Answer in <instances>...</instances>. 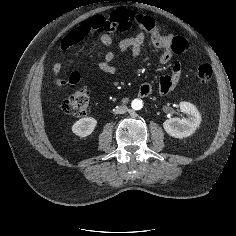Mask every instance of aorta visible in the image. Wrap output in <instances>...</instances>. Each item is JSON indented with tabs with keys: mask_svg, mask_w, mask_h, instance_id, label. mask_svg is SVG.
I'll use <instances>...</instances> for the list:
<instances>
[{
	"mask_svg": "<svg viewBox=\"0 0 236 236\" xmlns=\"http://www.w3.org/2000/svg\"><path fill=\"white\" fill-rule=\"evenodd\" d=\"M131 107L134 110H141L143 107V102L140 99H134L131 103Z\"/></svg>",
	"mask_w": 236,
	"mask_h": 236,
	"instance_id": "1",
	"label": "aorta"
}]
</instances>
